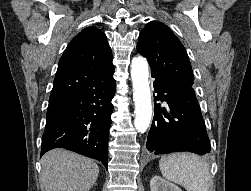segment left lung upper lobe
<instances>
[{"mask_svg": "<svg viewBox=\"0 0 251 191\" xmlns=\"http://www.w3.org/2000/svg\"><path fill=\"white\" fill-rule=\"evenodd\" d=\"M137 51L156 75L178 85L193 86L194 75L187 52L163 23L149 22L139 35Z\"/></svg>", "mask_w": 251, "mask_h": 191, "instance_id": "obj_1", "label": "left lung upper lobe"}]
</instances>
